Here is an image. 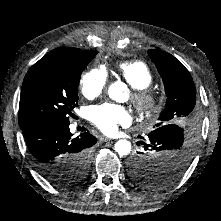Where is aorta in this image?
<instances>
[{"label":"aorta","instance_id":"obj_1","mask_svg":"<svg viewBox=\"0 0 221 221\" xmlns=\"http://www.w3.org/2000/svg\"><path fill=\"white\" fill-rule=\"evenodd\" d=\"M125 88L123 83L115 82L112 83L108 90V95L114 100H119L122 96ZM115 151L120 156H126L131 151V143L128 140L121 139L115 143Z\"/></svg>","mask_w":221,"mask_h":221}]
</instances>
